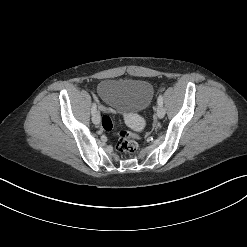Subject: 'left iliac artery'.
Here are the masks:
<instances>
[{"label": "left iliac artery", "instance_id": "1", "mask_svg": "<svg viewBox=\"0 0 247 247\" xmlns=\"http://www.w3.org/2000/svg\"><path fill=\"white\" fill-rule=\"evenodd\" d=\"M157 103H158V105L163 106V97H162V94H160V95L158 96Z\"/></svg>", "mask_w": 247, "mask_h": 247}]
</instances>
